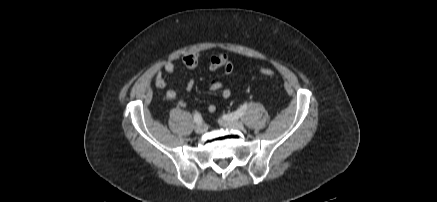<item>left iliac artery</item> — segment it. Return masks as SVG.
<instances>
[{
  "instance_id": "left-iliac-artery-1",
  "label": "left iliac artery",
  "mask_w": 437,
  "mask_h": 202,
  "mask_svg": "<svg viewBox=\"0 0 437 202\" xmlns=\"http://www.w3.org/2000/svg\"><path fill=\"white\" fill-rule=\"evenodd\" d=\"M247 109V104H243L237 111L232 112L230 114L224 115L223 118L225 120L233 121L240 118Z\"/></svg>"
}]
</instances>
